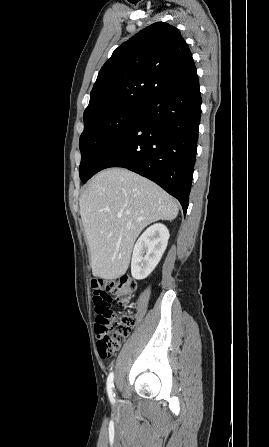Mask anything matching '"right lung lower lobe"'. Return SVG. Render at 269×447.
Masks as SVG:
<instances>
[{
  "mask_svg": "<svg viewBox=\"0 0 269 447\" xmlns=\"http://www.w3.org/2000/svg\"><path fill=\"white\" fill-rule=\"evenodd\" d=\"M143 104L138 122L101 155L89 177L109 167L127 168L177 198L185 214L201 117L195 65Z\"/></svg>",
  "mask_w": 269,
  "mask_h": 447,
  "instance_id": "1",
  "label": "right lung lower lobe"
}]
</instances>
